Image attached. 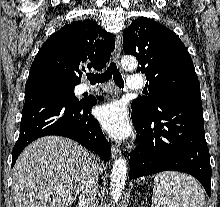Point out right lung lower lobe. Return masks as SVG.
Wrapping results in <instances>:
<instances>
[{
    "mask_svg": "<svg viewBox=\"0 0 220 207\" xmlns=\"http://www.w3.org/2000/svg\"><path fill=\"white\" fill-rule=\"evenodd\" d=\"M25 89L20 134L13 148L12 166L29 143L47 135L68 137L95 151L105 161L110 158V144L90 113L96 98L79 101L63 84L50 79L28 80Z\"/></svg>",
    "mask_w": 220,
    "mask_h": 207,
    "instance_id": "98d812e1",
    "label": "right lung lower lobe"
}]
</instances>
